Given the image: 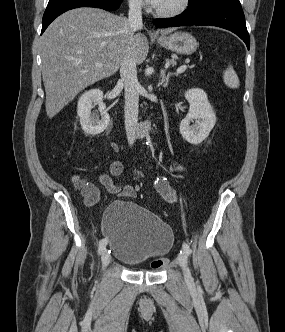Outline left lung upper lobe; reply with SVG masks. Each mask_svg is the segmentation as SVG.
<instances>
[{
	"mask_svg": "<svg viewBox=\"0 0 285 332\" xmlns=\"http://www.w3.org/2000/svg\"><path fill=\"white\" fill-rule=\"evenodd\" d=\"M209 1H212V0H189L188 9L194 8L196 6H199V5L209 2Z\"/></svg>",
	"mask_w": 285,
	"mask_h": 332,
	"instance_id": "obj_1",
	"label": "left lung upper lobe"
}]
</instances>
